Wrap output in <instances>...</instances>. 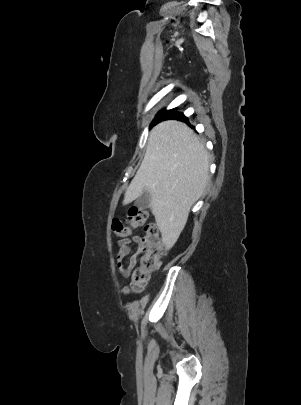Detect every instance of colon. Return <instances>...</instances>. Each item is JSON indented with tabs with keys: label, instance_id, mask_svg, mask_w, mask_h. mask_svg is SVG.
<instances>
[{
	"label": "colon",
	"instance_id": "obj_1",
	"mask_svg": "<svg viewBox=\"0 0 301 405\" xmlns=\"http://www.w3.org/2000/svg\"><path fill=\"white\" fill-rule=\"evenodd\" d=\"M147 212L138 208H130L125 221L115 219L112 231L116 236L126 237L133 228L144 227L142 247L138 255V264L131 275V289L141 291L149 282L153 273L161 266L162 257L166 253L159 230L155 224H146Z\"/></svg>",
	"mask_w": 301,
	"mask_h": 405
}]
</instances>
